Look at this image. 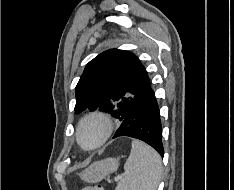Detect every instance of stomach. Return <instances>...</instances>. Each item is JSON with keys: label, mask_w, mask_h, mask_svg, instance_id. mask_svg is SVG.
<instances>
[{"label": "stomach", "mask_w": 234, "mask_h": 190, "mask_svg": "<svg viewBox=\"0 0 234 190\" xmlns=\"http://www.w3.org/2000/svg\"><path fill=\"white\" fill-rule=\"evenodd\" d=\"M119 161L117 159L108 158L90 165L87 169L82 171L80 178L88 183H98L109 174L117 171Z\"/></svg>", "instance_id": "stomach-1"}]
</instances>
